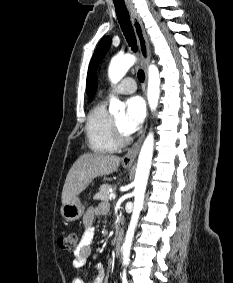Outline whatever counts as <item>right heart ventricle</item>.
<instances>
[{"mask_svg":"<svg viewBox=\"0 0 233 283\" xmlns=\"http://www.w3.org/2000/svg\"><path fill=\"white\" fill-rule=\"evenodd\" d=\"M112 116L104 102H99L90 111L86 123V136L90 149L96 153L108 154L117 150L112 130Z\"/></svg>","mask_w":233,"mask_h":283,"instance_id":"e07e8e85","label":"right heart ventricle"}]
</instances>
